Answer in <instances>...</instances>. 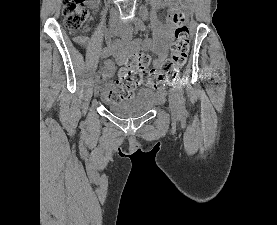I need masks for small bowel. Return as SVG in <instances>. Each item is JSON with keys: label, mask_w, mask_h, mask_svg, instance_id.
<instances>
[{"label": "small bowel", "mask_w": 277, "mask_h": 225, "mask_svg": "<svg viewBox=\"0 0 277 225\" xmlns=\"http://www.w3.org/2000/svg\"><path fill=\"white\" fill-rule=\"evenodd\" d=\"M97 0H89V5L93 8L97 7ZM152 12H151V23L152 30L154 33L153 40L141 43L140 41L132 42L129 45L130 49H143L150 52L155 56L154 67H159L166 59L167 47L172 39L173 26L171 15L168 16L166 23H163L156 15V13L165 6L175 7L174 0H151ZM126 56V48L124 43L118 40L113 43H108L106 48L98 52V58L114 57L116 62L121 63ZM115 62L111 59H107L104 62L102 69L96 75V81L103 87L109 85L114 72ZM153 83L151 80L148 81V85L151 86ZM156 95L158 99H162L165 95L163 89H156Z\"/></svg>", "instance_id": "c3829d8e"}]
</instances>
